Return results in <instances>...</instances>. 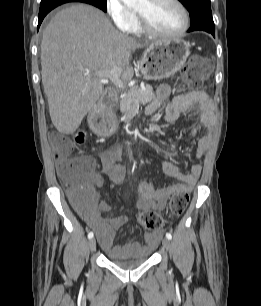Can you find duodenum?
Segmentation results:
<instances>
[{
	"label": "duodenum",
	"instance_id": "1",
	"mask_svg": "<svg viewBox=\"0 0 261 306\" xmlns=\"http://www.w3.org/2000/svg\"><path fill=\"white\" fill-rule=\"evenodd\" d=\"M117 96V91L112 87H108L106 89L104 97L100 102V109L108 110L109 108H111L115 104Z\"/></svg>",
	"mask_w": 261,
	"mask_h": 306
}]
</instances>
